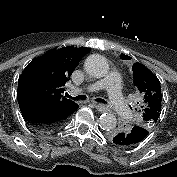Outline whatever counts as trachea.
Listing matches in <instances>:
<instances>
[{
    "label": "trachea",
    "mask_w": 177,
    "mask_h": 177,
    "mask_svg": "<svg viewBox=\"0 0 177 177\" xmlns=\"http://www.w3.org/2000/svg\"><path fill=\"white\" fill-rule=\"evenodd\" d=\"M66 95V97H68V98H71V99H73V100H84V99H86V96L85 95H79V96H76V97H72V96H70L68 93H66L65 94ZM97 102H100V103H107L105 100H103V99H101V98H96L95 99Z\"/></svg>",
    "instance_id": "trachea-1"
}]
</instances>
